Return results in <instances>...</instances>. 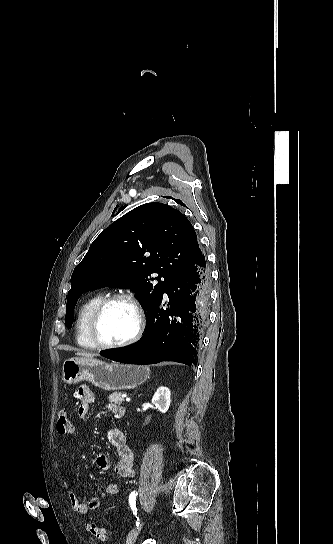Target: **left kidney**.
Segmentation results:
<instances>
[{"label":"left kidney","mask_w":333,"mask_h":544,"mask_svg":"<svg viewBox=\"0 0 333 544\" xmlns=\"http://www.w3.org/2000/svg\"><path fill=\"white\" fill-rule=\"evenodd\" d=\"M170 402L171 392L169 388L164 386L159 387L152 398V403L160 412L166 413L169 409Z\"/></svg>","instance_id":"1"}]
</instances>
